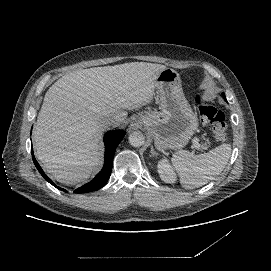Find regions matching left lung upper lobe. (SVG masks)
I'll return each mask as SVG.
<instances>
[{"mask_svg":"<svg viewBox=\"0 0 271 271\" xmlns=\"http://www.w3.org/2000/svg\"><path fill=\"white\" fill-rule=\"evenodd\" d=\"M222 95H223V96H224V98H225V94L223 93ZM225 100H226V98H225Z\"/></svg>","mask_w":271,"mask_h":271,"instance_id":"left-lung-upper-lobe-1","label":"left lung upper lobe"}]
</instances>
